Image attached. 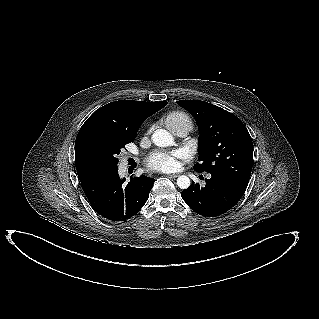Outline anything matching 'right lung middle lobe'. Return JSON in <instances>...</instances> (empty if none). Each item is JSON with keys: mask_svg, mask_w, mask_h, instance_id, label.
I'll return each mask as SVG.
<instances>
[{"mask_svg": "<svg viewBox=\"0 0 319 319\" xmlns=\"http://www.w3.org/2000/svg\"><path fill=\"white\" fill-rule=\"evenodd\" d=\"M132 142L121 136L98 131H88L77 135L75 146L79 157L102 171L117 168L121 148Z\"/></svg>", "mask_w": 319, "mask_h": 319, "instance_id": "right-lung-middle-lobe-1", "label": "right lung middle lobe"}]
</instances>
